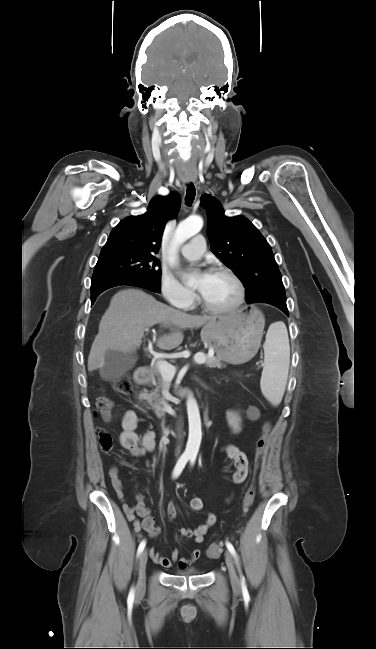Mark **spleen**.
Returning <instances> with one entry per match:
<instances>
[{
  "instance_id": "1",
  "label": "spleen",
  "mask_w": 376,
  "mask_h": 649,
  "mask_svg": "<svg viewBox=\"0 0 376 649\" xmlns=\"http://www.w3.org/2000/svg\"><path fill=\"white\" fill-rule=\"evenodd\" d=\"M263 348L265 358L260 387L265 398L276 406L284 395L289 371L290 346L284 324L277 322L270 326Z\"/></svg>"
}]
</instances>
